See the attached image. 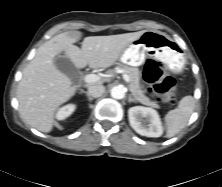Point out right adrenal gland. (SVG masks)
<instances>
[{
  "instance_id": "2a0ac1e0",
  "label": "right adrenal gland",
  "mask_w": 222,
  "mask_h": 187,
  "mask_svg": "<svg viewBox=\"0 0 222 187\" xmlns=\"http://www.w3.org/2000/svg\"><path fill=\"white\" fill-rule=\"evenodd\" d=\"M84 93L86 94V96H87V98H88L89 101H92V100L94 99L93 97H91V96L89 95L88 92H84Z\"/></svg>"
}]
</instances>
